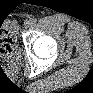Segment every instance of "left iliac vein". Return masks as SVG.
Returning <instances> with one entry per match:
<instances>
[{"instance_id":"4c4485c4","label":"left iliac vein","mask_w":93,"mask_h":93,"mask_svg":"<svg viewBox=\"0 0 93 93\" xmlns=\"http://www.w3.org/2000/svg\"><path fill=\"white\" fill-rule=\"evenodd\" d=\"M24 26H25L26 28L31 27V26H32V21H31V20L25 21Z\"/></svg>"}]
</instances>
